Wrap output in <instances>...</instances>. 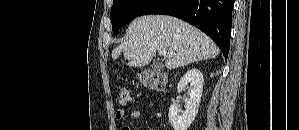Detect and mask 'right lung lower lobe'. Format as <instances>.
Returning <instances> with one entry per match:
<instances>
[{
	"label": "right lung lower lobe",
	"mask_w": 299,
	"mask_h": 130,
	"mask_svg": "<svg viewBox=\"0 0 299 130\" xmlns=\"http://www.w3.org/2000/svg\"><path fill=\"white\" fill-rule=\"evenodd\" d=\"M233 0H152L139 13L180 18L205 32L228 57Z\"/></svg>",
	"instance_id": "obj_1"
}]
</instances>
